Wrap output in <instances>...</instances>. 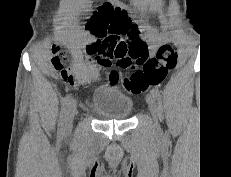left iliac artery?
I'll use <instances>...</instances> for the list:
<instances>
[{
  "mask_svg": "<svg viewBox=\"0 0 231 177\" xmlns=\"http://www.w3.org/2000/svg\"><path fill=\"white\" fill-rule=\"evenodd\" d=\"M151 94L154 96V98L160 103L161 102V94L158 89L153 88L151 90Z\"/></svg>",
  "mask_w": 231,
  "mask_h": 177,
  "instance_id": "obj_1",
  "label": "left iliac artery"
}]
</instances>
